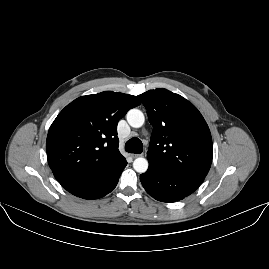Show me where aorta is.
Listing matches in <instances>:
<instances>
[{
  "instance_id": "1",
  "label": "aorta",
  "mask_w": 269,
  "mask_h": 269,
  "mask_svg": "<svg viewBox=\"0 0 269 269\" xmlns=\"http://www.w3.org/2000/svg\"><path fill=\"white\" fill-rule=\"evenodd\" d=\"M127 121L131 127L141 128L145 123V117L140 110L132 109L127 113ZM148 166V160L144 157H138L133 162V168L139 173L146 172Z\"/></svg>"
}]
</instances>
